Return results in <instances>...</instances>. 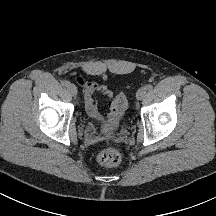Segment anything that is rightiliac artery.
<instances>
[{
	"mask_svg": "<svg viewBox=\"0 0 216 216\" xmlns=\"http://www.w3.org/2000/svg\"><path fill=\"white\" fill-rule=\"evenodd\" d=\"M61 85H62L63 87H67V86L69 85V82L66 81V80H63V81H61Z\"/></svg>",
	"mask_w": 216,
	"mask_h": 216,
	"instance_id": "1",
	"label": "right iliac artery"
}]
</instances>
